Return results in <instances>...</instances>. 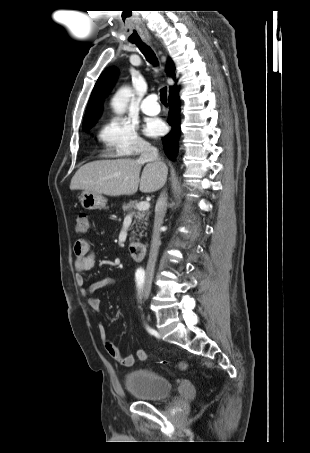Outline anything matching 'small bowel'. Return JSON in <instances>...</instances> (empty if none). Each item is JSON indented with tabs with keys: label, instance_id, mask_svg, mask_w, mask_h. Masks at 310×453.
Returning a JSON list of instances; mask_svg holds the SVG:
<instances>
[{
	"label": "small bowel",
	"instance_id": "c3829d8e",
	"mask_svg": "<svg viewBox=\"0 0 310 453\" xmlns=\"http://www.w3.org/2000/svg\"><path fill=\"white\" fill-rule=\"evenodd\" d=\"M73 252V267L76 273V284L80 288L81 294L88 298L90 307L94 311H99L101 309V302L97 297H94L93 294L100 289L114 285L115 279L112 277H105L96 280L85 287V278L83 274L92 269L95 264V255L92 251L91 243L86 239H78L74 244ZM98 334L107 354L120 365L131 367L136 361L146 360L147 354L144 349H137L134 355H123L113 342L108 339L103 324L98 325Z\"/></svg>",
	"mask_w": 310,
	"mask_h": 453
}]
</instances>
